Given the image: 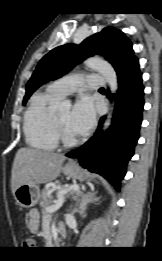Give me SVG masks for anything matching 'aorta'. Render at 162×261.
<instances>
[{
    "mask_svg": "<svg viewBox=\"0 0 162 261\" xmlns=\"http://www.w3.org/2000/svg\"><path fill=\"white\" fill-rule=\"evenodd\" d=\"M86 65L98 72L101 73V75L105 78L106 82L108 83V86L110 88V91L114 94L116 93L118 89V81H117V75L114 70V68L105 60L99 58V57H92L85 61ZM60 108H69L70 107V101L65 100L59 104ZM112 112H113V106L111 107V111L107 117V120L104 123L103 129L106 130L110 124H111V118H112Z\"/></svg>",
    "mask_w": 162,
    "mask_h": 261,
    "instance_id": "obj_1",
    "label": "aorta"
}]
</instances>
